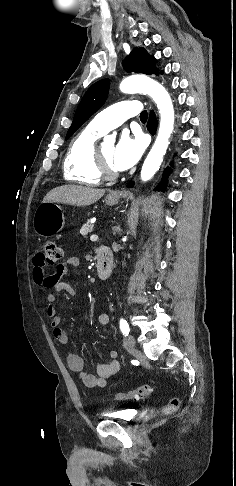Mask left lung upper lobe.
Returning <instances> with one entry per match:
<instances>
[{"instance_id": "5c2ea615", "label": "left lung upper lobe", "mask_w": 236, "mask_h": 486, "mask_svg": "<svg viewBox=\"0 0 236 486\" xmlns=\"http://www.w3.org/2000/svg\"><path fill=\"white\" fill-rule=\"evenodd\" d=\"M155 60L156 59L153 56H150L144 48H135L130 55L126 57L123 66L127 72L158 75L159 72L155 67ZM109 86V80L103 79L93 84L87 90L76 110L66 139L76 132L79 127L105 103L108 96Z\"/></svg>"}]
</instances>
